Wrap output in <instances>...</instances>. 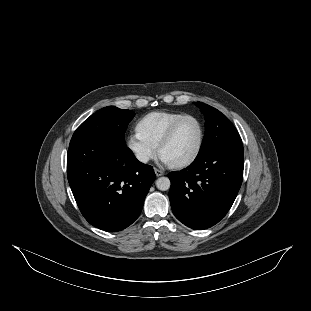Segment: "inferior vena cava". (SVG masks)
<instances>
[{
	"mask_svg": "<svg viewBox=\"0 0 311 311\" xmlns=\"http://www.w3.org/2000/svg\"><path fill=\"white\" fill-rule=\"evenodd\" d=\"M136 158L142 163H147L149 161V157L144 154H136Z\"/></svg>",
	"mask_w": 311,
	"mask_h": 311,
	"instance_id": "inferior-vena-cava-1",
	"label": "inferior vena cava"
}]
</instances>
